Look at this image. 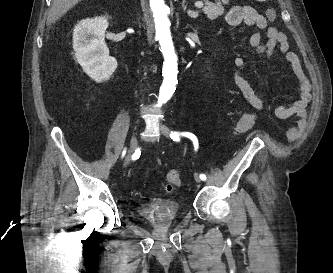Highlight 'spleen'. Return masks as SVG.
<instances>
[{
    "label": "spleen",
    "instance_id": "1",
    "mask_svg": "<svg viewBox=\"0 0 333 273\" xmlns=\"http://www.w3.org/2000/svg\"><path fill=\"white\" fill-rule=\"evenodd\" d=\"M259 2H263V1H266V0H258Z\"/></svg>",
    "mask_w": 333,
    "mask_h": 273
}]
</instances>
